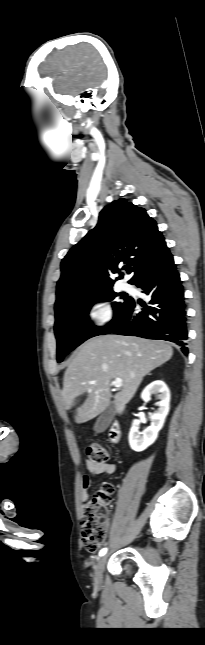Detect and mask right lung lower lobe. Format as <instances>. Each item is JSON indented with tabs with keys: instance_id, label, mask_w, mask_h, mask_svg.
I'll list each match as a JSON object with an SVG mask.
<instances>
[{
	"instance_id": "98d812e1",
	"label": "right lung lower lobe",
	"mask_w": 205,
	"mask_h": 645,
	"mask_svg": "<svg viewBox=\"0 0 205 645\" xmlns=\"http://www.w3.org/2000/svg\"><path fill=\"white\" fill-rule=\"evenodd\" d=\"M149 295V305L131 298L120 317L100 335L116 333L174 342L187 355V314L184 289L173 256L139 274L131 283ZM143 306L136 312V306Z\"/></svg>"
}]
</instances>
